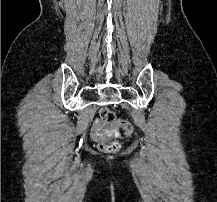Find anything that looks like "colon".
I'll list each match as a JSON object with an SVG mask.
<instances>
[{"label":"colon","instance_id":"1","mask_svg":"<svg viewBox=\"0 0 217 202\" xmlns=\"http://www.w3.org/2000/svg\"><path fill=\"white\" fill-rule=\"evenodd\" d=\"M101 119H103L107 124L114 123V117H116L115 113L109 110L108 107H101ZM118 122L120 126L123 128H126L124 130V135H131L134 131V128L132 127V123H129V121H125L124 118H119ZM101 150L107 152V153H114L119 148V143L117 141H105L100 143Z\"/></svg>","mask_w":217,"mask_h":202}]
</instances>
